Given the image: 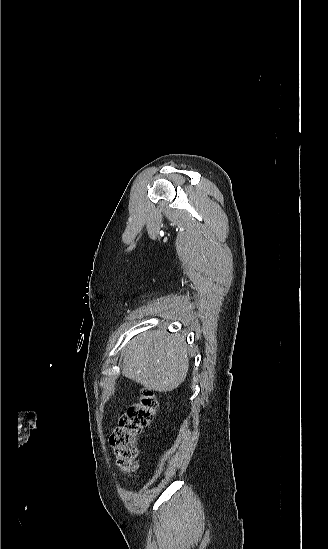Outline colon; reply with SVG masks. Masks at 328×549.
I'll list each match as a JSON object with an SVG mask.
<instances>
[{"label":"colon","instance_id":"obj_1","mask_svg":"<svg viewBox=\"0 0 328 549\" xmlns=\"http://www.w3.org/2000/svg\"><path fill=\"white\" fill-rule=\"evenodd\" d=\"M157 407L156 394L150 389H144L139 402L129 407L119 419L110 443L114 449L117 464L125 474L131 475L136 469L138 455L136 436L151 422Z\"/></svg>","mask_w":328,"mask_h":549}]
</instances>
